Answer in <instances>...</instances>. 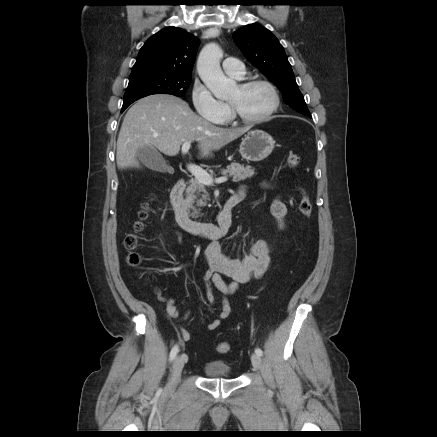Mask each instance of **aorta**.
<instances>
[{"mask_svg": "<svg viewBox=\"0 0 437 437\" xmlns=\"http://www.w3.org/2000/svg\"><path fill=\"white\" fill-rule=\"evenodd\" d=\"M222 56V49L216 43H209L201 50L197 60L201 80L218 99L228 97L236 89V82L228 79L221 70Z\"/></svg>", "mask_w": 437, "mask_h": 437, "instance_id": "obj_1", "label": "aorta"}]
</instances>
